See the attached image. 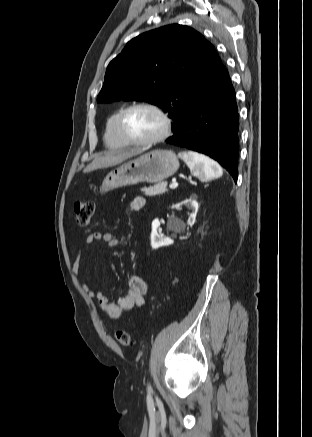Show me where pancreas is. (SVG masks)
Instances as JSON below:
<instances>
[{
  "label": "pancreas",
  "mask_w": 312,
  "mask_h": 437,
  "mask_svg": "<svg viewBox=\"0 0 312 437\" xmlns=\"http://www.w3.org/2000/svg\"><path fill=\"white\" fill-rule=\"evenodd\" d=\"M166 187H167V183L166 182H162V183L156 184L153 187L142 188L141 191L146 196H156V195L164 194L167 191Z\"/></svg>",
  "instance_id": "cf45deb5"
}]
</instances>
